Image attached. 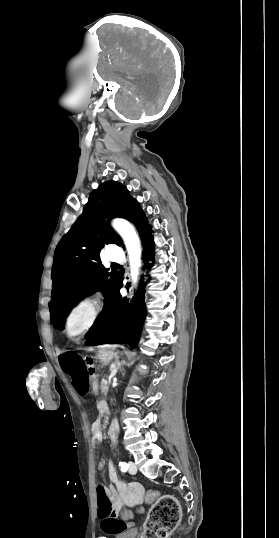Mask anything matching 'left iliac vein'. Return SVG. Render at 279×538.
<instances>
[{"mask_svg":"<svg viewBox=\"0 0 279 538\" xmlns=\"http://www.w3.org/2000/svg\"><path fill=\"white\" fill-rule=\"evenodd\" d=\"M128 465H129V473L130 474H136V472H137L136 465L132 461H129Z\"/></svg>","mask_w":279,"mask_h":538,"instance_id":"4c4485c4","label":"left iliac vein"}]
</instances>
